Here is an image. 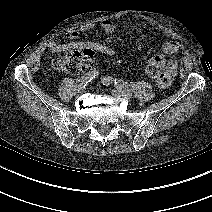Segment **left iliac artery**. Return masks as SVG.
Listing matches in <instances>:
<instances>
[{"label":"left iliac artery","instance_id":"1","mask_svg":"<svg viewBox=\"0 0 212 212\" xmlns=\"http://www.w3.org/2000/svg\"><path fill=\"white\" fill-rule=\"evenodd\" d=\"M102 83L104 85H110V84H114L116 88H118L120 91L126 93V94H131L130 89L127 85V83H125L123 80L121 79H117V78H112L110 76H104L102 78Z\"/></svg>","mask_w":212,"mask_h":212}]
</instances>
